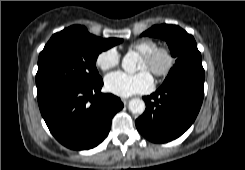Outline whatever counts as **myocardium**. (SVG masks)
Here are the masks:
<instances>
[{"label": "myocardium", "mask_w": 245, "mask_h": 170, "mask_svg": "<svg viewBox=\"0 0 245 170\" xmlns=\"http://www.w3.org/2000/svg\"><path fill=\"white\" fill-rule=\"evenodd\" d=\"M160 55L165 57L166 62L164 67L159 70L152 69L151 72L158 78H164L170 74L175 65V56L169 48L165 46H157L151 51L141 54V57L145 61L152 63Z\"/></svg>", "instance_id": "myocardium-1"}]
</instances>
